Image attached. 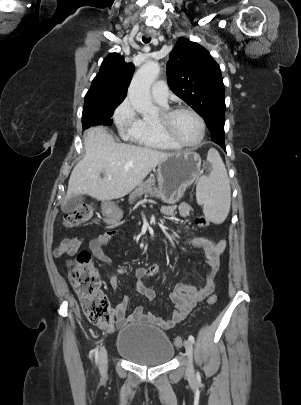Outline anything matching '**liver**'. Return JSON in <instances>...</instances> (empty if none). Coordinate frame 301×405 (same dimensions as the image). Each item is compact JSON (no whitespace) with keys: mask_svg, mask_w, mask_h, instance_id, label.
<instances>
[{"mask_svg":"<svg viewBox=\"0 0 301 405\" xmlns=\"http://www.w3.org/2000/svg\"><path fill=\"white\" fill-rule=\"evenodd\" d=\"M85 155L72 170L64 204L74 195L111 200L129 194L169 153L116 143L103 127L84 133ZM105 177L101 178V172Z\"/></svg>","mask_w":301,"mask_h":405,"instance_id":"liver-1","label":"liver"}]
</instances>
